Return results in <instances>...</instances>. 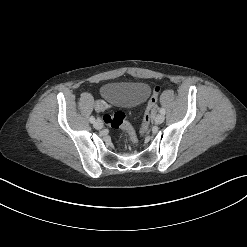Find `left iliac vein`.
<instances>
[{"label": "left iliac vein", "instance_id": "left-iliac-vein-1", "mask_svg": "<svg viewBox=\"0 0 247 247\" xmlns=\"http://www.w3.org/2000/svg\"><path fill=\"white\" fill-rule=\"evenodd\" d=\"M164 118L165 117H164L163 114H158V115H156L154 121H155L156 124H161V123H163Z\"/></svg>", "mask_w": 247, "mask_h": 247}]
</instances>
